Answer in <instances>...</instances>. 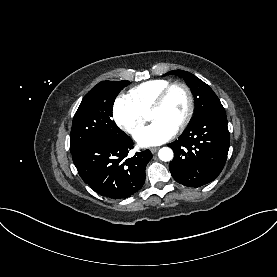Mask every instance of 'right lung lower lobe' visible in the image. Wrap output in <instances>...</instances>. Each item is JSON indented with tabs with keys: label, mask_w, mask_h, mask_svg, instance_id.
<instances>
[{
	"label": "right lung lower lobe",
	"mask_w": 277,
	"mask_h": 277,
	"mask_svg": "<svg viewBox=\"0 0 277 277\" xmlns=\"http://www.w3.org/2000/svg\"><path fill=\"white\" fill-rule=\"evenodd\" d=\"M133 148L129 136L122 139L100 138L71 152L82 180L95 192L112 199H122L140 190L145 182V168L151 160L149 150L127 158Z\"/></svg>",
	"instance_id": "98d812e1"
}]
</instances>
